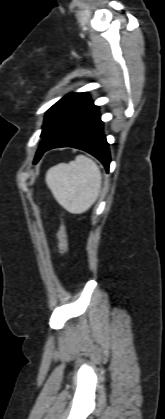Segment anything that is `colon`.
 <instances>
[{"label": "colon", "mask_w": 165, "mask_h": 419, "mask_svg": "<svg viewBox=\"0 0 165 419\" xmlns=\"http://www.w3.org/2000/svg\"><path fill=\"white\" fill-rule=\"evenodd\" d=\"M59 247L63 256H68L69 253V240L67 229L64 224L61 225L58 231Z\"/></svg>", "instance_id": "obj_1"}]
</instances>
